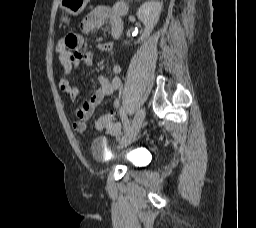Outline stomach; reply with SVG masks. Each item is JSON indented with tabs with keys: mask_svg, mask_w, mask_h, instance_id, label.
Masks as SVG:
<instances>
[{
	"mask_svg": "<svg viewBox=\"0 0 256 228\" xmlns=\"http://www.w3.org/2000/svg\"><path fill=\"white\" fill-rule=\"evenodd\" d=\"M90 0H61L60 6L65 12L60 18V23L62 25L68 26L70 24V18L68 15L76 16L80 14Z\"/></svg>",
	"mask_w": 256,
	"mask_h": 228,
	"instance_id": "1",
	"label": "stomach"
}]
</instances>
